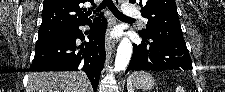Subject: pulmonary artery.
I'll return each mask as SVG.
<instances>
[{"mask_svg": "<svg viewBox=\"0 0 225 92\" xmlns=\"http://www.w3.org/2000/svg\"><path fill=\"white\" fill-rule=\"evenodd\" d=\"M126 16L130 19L139 17L142 21H145V18H143L137 10H128Z\"/></svg>", "mask_w": 225, "mask_h": 92, "instance_id": "pulmonary-artery-1", "label": "pulmonary artery"}]
</instances>
